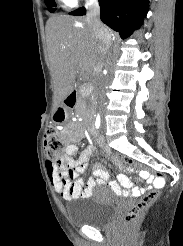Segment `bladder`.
<instances>
[{
    "instance_id": "1",
    "label": "bladder",
    "mask_w": 183,
    "mask_h": 246,
    "mask_svg": "<svg viewBox=\"0 0 183 246\" xmlns=\"http://www.w3.org/2000/svg\"><path fill=\"white\" fill-rule=\"evenodd\" d=\"M119 201L105 189L97 191L81 207L68 211V218L76 227L105 228L115 217Z\"/></svg>"
}]
</instances>
